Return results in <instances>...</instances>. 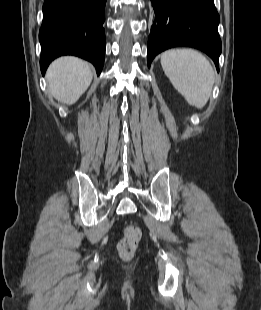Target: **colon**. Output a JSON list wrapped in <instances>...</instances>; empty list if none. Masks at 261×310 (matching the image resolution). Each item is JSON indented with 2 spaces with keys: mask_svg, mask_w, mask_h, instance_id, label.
<instances>
[{
  "mask_svg": "<svg viewBox=\"0 0 261 310\" xmlns=\"http://www.w3.org/2000/svg\"><path fill=\"white\" fill-rule=\"evenodd\" d=\"M141 230L136 224H128L124 229V235L118 243V252L121 258L131 259L139 245Z\"/></svg>",
  "mask_w": 261,
  "mask_h": 310,
  "instance_id": "obj_1",
  "label": "colon"
}]
</instances>
